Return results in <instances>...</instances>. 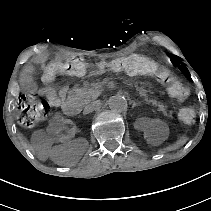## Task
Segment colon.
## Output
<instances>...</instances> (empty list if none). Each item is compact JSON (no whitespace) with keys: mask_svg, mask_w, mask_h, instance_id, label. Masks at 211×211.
Instances as JSON below:
<instances>
[{"mask_svg":"<svg viewBox=\"0 0 211 211\" xmlns=\"http://www.w3.org/2000/svg\"><path fill=\"white\" fill-rule=\"evenodd\" d=\"M90 68L96 71L121 72L128 75H152L158 77L168 86L172 96L180 101L185 100L189 91L177 81L166 69L149 57L142 55H129L88 64L81 58H68L62 61H54L44 67L43 80L52 82L58 75H83ZM50 112L49 100L40 93H26L18 100V121L24 127L35 126L44 120ZM179 118L185 125H192L196 119V111L192 107L182 108Z\"/></svg>","mask_w":211,"mask_h":211,"instance_id":"colon-1","label":"colon"}]
</instances>
